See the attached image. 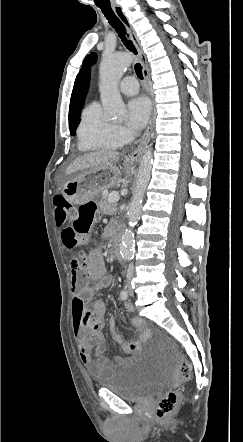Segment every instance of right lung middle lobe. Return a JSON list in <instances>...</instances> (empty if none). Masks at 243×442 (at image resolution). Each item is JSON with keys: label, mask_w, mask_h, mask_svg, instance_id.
I'll use <instances>...</instances> for the list:
<instances>
[{"label": "right lung middle lobe", "mask_w": 243, "mask_h": 442, "mask_svg": "<svg viewBox=\"0 0 243 442\" xmlns=\"http://www.w3.org/2000/svg\"><path fill=\"white\" fill-rule=\"evenodd\" d=\"M77 125H78V123H76V124L70 126V133H71V135H74V134H75V130H76V128H77Z\"/></svg>", "instance_id": "right-lung-middle-lobe-1"}]
</instances>
